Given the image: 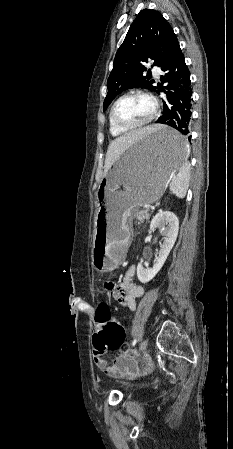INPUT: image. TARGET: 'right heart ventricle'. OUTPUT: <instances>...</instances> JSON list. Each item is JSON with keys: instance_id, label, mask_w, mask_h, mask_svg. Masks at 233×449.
<instances>
[{"instance_id": "obj_1", "label": "right heart ventricle", "mask_w": 233, "mask_h": 449, "mask_svg": "<svg viewBox=\"0 0 233 449\" xmlns=\"http://www.w3.org/2000/svg\"><path fill=\"white\" fill-rule=\"evenodd\" d=\"M109 131H110L111 135L114 136V137L121 136V135H123V134H125V133L127 132V131H122V130L117 129V128L110 122V119H109Z\"/></svg>"}]
</instances>
